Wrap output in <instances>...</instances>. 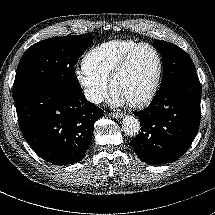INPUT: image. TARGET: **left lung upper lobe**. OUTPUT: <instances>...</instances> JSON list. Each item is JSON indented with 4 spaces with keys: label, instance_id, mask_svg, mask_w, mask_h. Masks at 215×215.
Returning <instances> with one entry per match:
<instances>
[{
    "label": "left lung upper lobe",
    "instance_id": "1",
    "mask_svg": "<svg viewBox=\"0 0 215 215\" xmlns=\"http://www.w3.org/2000/svg\"><path fill=\"white\" fill-rule=\"evenodd\" d=\"M153 45L162 56L163 76L160 88L179 77L196 72L190 56L178 46L162 40H155Z\"/></svg>",
    "mask_w": 215,
    "mask_h": 215
}]
</instances>
